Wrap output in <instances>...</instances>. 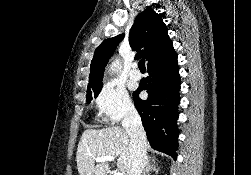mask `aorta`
Listing matches in <instances>:
<instances>
[{"label": "aorta", "instance_id": "aorta-1", "mask_svg": "<svg viewBox=\"0 0 251 175\" xmlns=\"http://www.w3.org/2000/svg\"><path fill=\"white\" fill-rule=\"evenodd\" d=\"M121 68V60H115V62H112L110 70L111 72H121Z\"/></svg>", "mask_w": 251, "mask_h": 175}]
</instances>
